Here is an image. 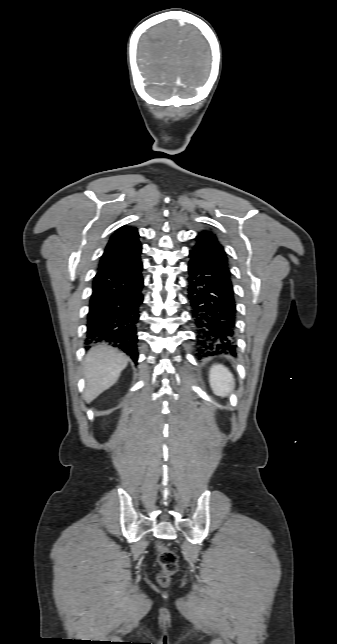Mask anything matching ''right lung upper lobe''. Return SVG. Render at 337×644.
Wrapping results in <instances>:
<instances>
[{
  "label": "right lung upper lobe",
  "mask_w": 337,
  "mask_h": 644,
  "mask_svg": "<svg viewBox=\"0 0 337 644\" xmlns=\"http://www.w3.org/2000/svg\"><path fill=\"white\" fill-rule=\"evenodd\" d=\"M141 249L137 228L123 226L111 236L100 260L99 269L135 260L140 257Z\"/></svg>",
  "instance_id": "1"
}]
</instances>
